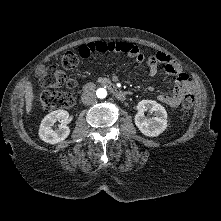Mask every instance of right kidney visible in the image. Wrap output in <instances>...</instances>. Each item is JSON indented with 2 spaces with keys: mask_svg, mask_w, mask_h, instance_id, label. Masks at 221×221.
<instances>
[{
  "mask_svg": "<svg viewBox=\"0 0 221 221\" xmlns=\"http://www.w3.org/2000/svg\"><path fill=\"white\" fill-rule=\"evenodd\" d=\"M69 120V113L65 110H56L44 117L39 128V137L46 143L57 144L65 140L70 129L67 126ZM56 121L61 124L57 129H53V125Z\"/></svg>",
  "mask_w": 221,
  "mask_h": 221,
  "instance_id": "obj_1",
  "label": "right kidney"
}]
</instances>
